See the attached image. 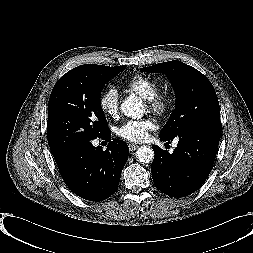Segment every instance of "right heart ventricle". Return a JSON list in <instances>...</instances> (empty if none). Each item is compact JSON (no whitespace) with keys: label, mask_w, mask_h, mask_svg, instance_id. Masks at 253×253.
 Masks as SVG:
<instances>
[{"label":"right heart ventricle","mask_w":253,"mask_h":253,"mask_svg":"<svg viewBox=\"0 0 253 253\" xmlns=\"http://www.w3.org/2000/svg\"><path fill=\"white\" fill-rule=\"evenodd\" d=\"M127 88L147 100L159 92L160 85L149 77L136 75L127 83Z\"/></svg>","instance_id":"e07e8e85"}]
</instances>
